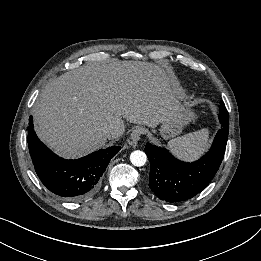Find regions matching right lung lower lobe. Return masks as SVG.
Instances as JSON below:
<instances>
[{"label": "right lung lower lobe", "instance_id": "1", "mask_svg": "<svg viewBox=\"0 0 261 261\" xmlns=\"http://www.w3.org/2000/svg\"><path fill=\"white\" fill-rule=\"evenodd\" d=\"M29 120L28 147L41 182L51 192L69 201L91 196L99 187L110 160L121 147L100 149L76 160L63 159L38 139L33 129V117L30 116Z\"/></svg>", "mask_w": 261, "mask_h": 261}]
</instances>
